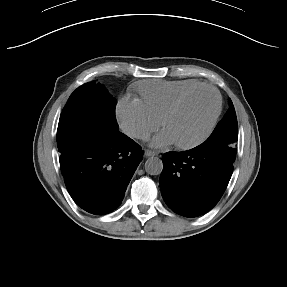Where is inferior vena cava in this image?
Returning a JSON list of instances; mask_svg holds the SVG:
<instances>
[{
	"instance_id": "obj_1",
	"label": "inferior vena cava",
	"mask_w": 287,
	"mask_h": 287,
	"mask_svg": "<svg viewBox=\"0 0 287 287\" xmlns=\"http://www.w3.org/2000/svg\"><path fill=\"white\" fill-rule=\"evenodd\" d=\"M125 132L128 136L133 138L146 139V140L149 139V134L138 127H128L126 128Z\"/></svg>"
}]
</instances>
